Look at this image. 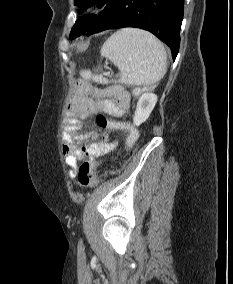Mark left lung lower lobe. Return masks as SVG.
I'll return each instance as SVG.
<instances>
[{
  "mask_svg": "<svg viewBox=\"0 0 233 284\" xmlns=\"http://www.w3.org/2000/svg\"><path fill=\"white\" fill-rule=\"evenodd\" d=\"M183 6L184 0H109L86 34L123 27L145 29L171 48L175 60Z\"/></svg>",
  "mask_w": 233,
  "mask_h": 284,
  "instance_id": "left-lung-lower-lobe-1",
  "label": "left lung lower lobe"
}]
</instances>
